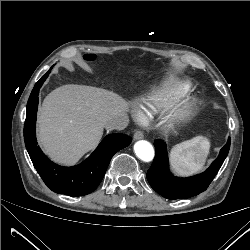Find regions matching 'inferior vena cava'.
<instances>
[{"mask_svg": "<svg viewBox=\"0 0 250 250\" xmlns=\"http://www.w3.org/2000/svg\"><path fill=\"white\" fill-rule=\"evenodd\" d=\"M129 119L126 115L120 114L109 118L104 127L109 130H123L127 127Z\"/></svg>", "mask_w": 250, "mask_h": 250, "instance_id": "1", "label": "inferior vena cava"}]
</instances>
